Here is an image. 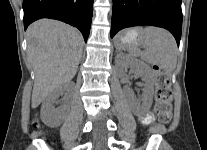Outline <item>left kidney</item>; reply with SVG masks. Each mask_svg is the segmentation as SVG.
Masks as SVG:
<instances>
[{
    "mask_svg": "<svg viewBox=\"0 0 207 150\" xmlns=\"http://www.w3.org/2000/svg\"><path fill=\"white\" fill-rule=\"evenodd\" d=\"M115 62L122 69L120 70V74L125 76L124 69L130 68L137 76L142 77L144 80V91H143V99L142 103L136 101L131 91L126 90L125 93L127 98L129 99L130 106L132 112L136 116L145 115L151 108L153 103V94H154V76L151 68L134 58H131L128 55L120 54L116 57Z\"/></svg>",
    "mask_w": 207,
    "mask_h": 150,
    "instance_id": "5707ae66",
    "label": "left kidney"
}]
</instances>
